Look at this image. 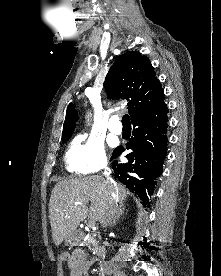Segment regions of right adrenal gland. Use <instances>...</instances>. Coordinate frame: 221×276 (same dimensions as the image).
I'll return each instance as SVG.
<instances>
[{"label":"right adrenal gland","mask_w":221,"mask_h":276,"mask_svg":"<svg viewBox=\"0 0 221 276\" xmlns=\"http://www.w3.org/2000/svg\"><path fill=\"white\" fill-rule=\"evenodd\" d=\"M124 211H125V205L123 203H120L118 213L109 226H115L119 218L124 214Z\"/></svg>","instance_id":"1"}]
</instances>
